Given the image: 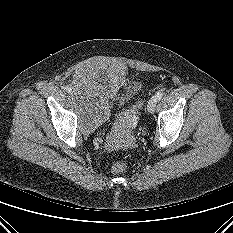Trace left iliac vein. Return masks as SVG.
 Wrapping results in <instances>:
<instances>
[{
	"label": "left iliac vein",
	"mask_w": 233,
	"mask_h": 233,
	"mask_svg": "<svg viewBox=\"0 0 233 233\" xmlns=\"http://www.w3.org/2000/svg\"><path fill=\"white\" fill-rule=\"evenodd\" d=\"M157 102L154 99L149 100L147 109L149 113H153L155 110Z\"/></svg>",
	"instance_id": "1"
}]
</instances>
